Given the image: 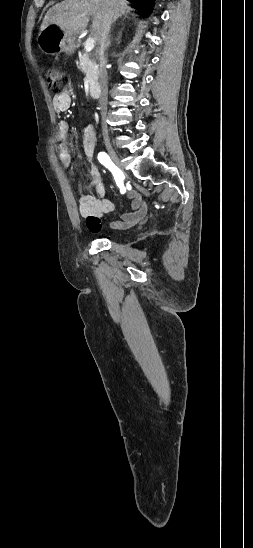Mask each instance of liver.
I'll return each instance as SVG.
<instances>
[{"label":"liver","instance_id":"obj_1","mask_svg":"<svg viewBox=\"0 0 253 548\" xmlns=\"http://www.w3.org/2000/svg\"><path fill=\"white\" fill-rule=\"evenodd\" d=\"M107 0H64L52 6L44 16L40 29L56 25L66 36L74 37L82 33L93 17L92 35L98 37L108 9ZM131 11L126 0H115L114 17L116 20L124 13Z\"/></svg>","mask_w":253,"mask_h":548}]
</instances>
